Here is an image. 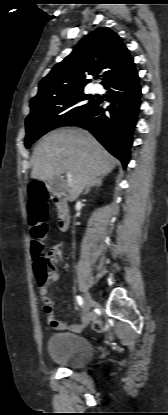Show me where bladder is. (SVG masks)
<instances>
[{
  "mask_svg": "<svg viewBox=\"0 0 168 415\" xmlns=\"http://www.w3.org/2000/svg\"><path fill=\"white\" fill-rule=\"evenodd\" d=\"M48 353L53 363L69 369L83 368L93 358L91 344L69 332L52 334L48 340Z\"/></svg>",
  "mask_w": 168,
  "mask_h": 415,
  "instance_id": "1",
  "label": "bladder"
}]
</instances>
